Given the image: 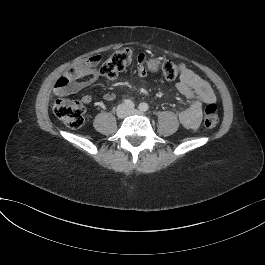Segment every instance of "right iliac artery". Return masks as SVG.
Listing matches in <instances>:
<instances>
[{
	"instance_id": "82829eb1",
	"label": "right iliac artery",
	"mask_w": 265,
	"mask_h": 265,
	"mask_svg": "<svg viewBox=\"0 0 265 265\" xmlns=\"http://www.w3.org/2000/svg\"><path fill=\"white\" fill-rule=\"evenodd\" d=\"M123 104H124L125 106L131 108V109L134 108V103H133L131 100H129V99L124 100V101H123Z\"/></svg>"
}]
</instances>
